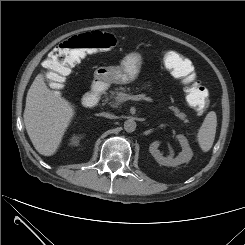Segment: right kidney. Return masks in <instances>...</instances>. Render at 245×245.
I'll return each mask as SVG.
<instances>
[{
    "instance_id": "right-kidney-1",
    "label": "right kidney",
    "mask_w": 245,
    "mask_h": 245,
    "mask_svg": "<svg viewBox=\"0 0 245 245\" xmlns=\"http://www.w3.org/2000/svg\"><path fill=\"white\" fill-rule=\"evenodd\" d=\"M82 135H74V136H72L71 137V139H70V145L71 146H78L79 145V142H80V140L82 139Z\"/></svg>"
}]
</instances>
